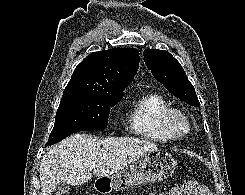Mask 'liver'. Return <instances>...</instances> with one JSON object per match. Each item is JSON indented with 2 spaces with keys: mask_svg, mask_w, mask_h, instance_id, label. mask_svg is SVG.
I'll list each match as a JSON object with an SVG mask.
<instances>
[{
  "mask_svg": "<svg viewBox=\"0 0 245 195\" xmlns=\"http://www.w3.org/2000/svg\"><path fill=\"white\" fill-rule=\"evenodd\" d=\"M153 142L139 138H90L76 133L50 149L40 166L42 195H51L59 184L78 186L93 175L108 177L148 152L157 151ZM95 166L93 174L90 166Z\"/></svg>",
  "mask_w": 245,
  "mask_h": 195,
  "instance_id": "1",
  "label": "liver"
}]
</instances>
